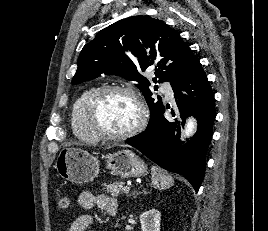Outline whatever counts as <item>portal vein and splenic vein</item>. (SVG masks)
Wrapping results in <instances>:
<instances>
[{
    "mask_svg": "<svg viewBox=\"0 0 268 231\" xmlns=\"http://www.w3.org/2000/svg\"><path fill=\"white\" fill-rule=\"evenodd\" d=\"M129 190H130V188H129L128 186H125V187L123 188V191H124L125 193H128Z\"/></svg>",
    "mask_w": 268,
    "mask_h": 231,
    "instance_id": "portal-vein-and-splenic-vein-1",
    "label": "portal vein and splenic vein"
}]
</instances>
